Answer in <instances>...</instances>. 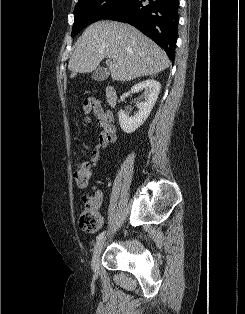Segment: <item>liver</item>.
Instances as JSON below:
<instances>
[{
	"instance_id": "6515ba94",
	"label": "liver",
	"mask_w": 245,
	"mask_h": 314,
	"mask_svg": "<svg viewBox=\"0 0 245 314\" xmlns=\"http://www.w3.org/2000/svg\"><path fill=\"white\" fill-rule=\"evenodd\" d=\"M104 58L111 78L121 82L154 75L170 66L165 51L133 26L98 21L87 27L76 43L69 60L70 78L95 70Z\"/></svg>"
}]
</instances>
